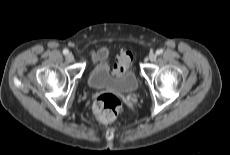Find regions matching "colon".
I'll list each match as a JSON object with an SVG mask.
<instances>
[{
    "instance_id": "1",
    "label": "colon",
    "mask_w": 230,
    "mask_h": 155,
    "mask_svg": "<svg viewBox=\"0 0 230 155\" xmlns=\"http://www.w3.org/2000/svg\"><path fill=\"white\" fill-rule=\"evenodd\" d=\"M125 60L131 61V56L126 53ZM122 109L120 100L113 94L100 95L94 103V114L99 122L107 123L113 121Z\"/></svg>"
}]
</instances>
